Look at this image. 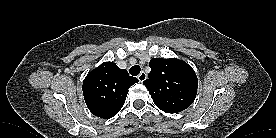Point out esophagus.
I'll return each instance as SVG.
<instances>
[{"label":"esophagus","mask_w":276,"mask_h":138,"mask_svg":"<svg viewBox=\"0 0 276 138\" xmlns=\"http://www.w3.org/2000/svg\"><path fill=\"white\" fill-rule=\"evenodd\" d=\"M146 78H147V74H146L144 71H142V72L138 75V80H139L140 82L145 81Z\"/></svg>","instance_id":"obj_1"}]
</instances>
